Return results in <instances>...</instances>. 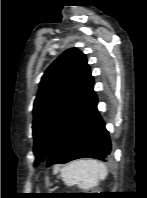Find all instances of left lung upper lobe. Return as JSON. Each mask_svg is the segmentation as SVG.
<instances>
[{"label":"left lung upper lobe","mask_w":147,"mask_h":198,"mask_svg":"<svg viewBox=\"0 0 147 198\" xmlns=\"http://www.w3.org/2000/svg\"><path fill=\"white\" fill-rule=\"evenodd\" d=\"M94 80L86 57L66 50L45 71L33 108L35 165L47 161L54 145L85 106Z\"/></svg>","instance_id":"obj_1"}]
</instances>
